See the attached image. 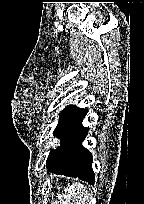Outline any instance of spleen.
Returning a JSON list of instances; mask_svg holds the SVG:
<instances>
[{
	"instance_id": "1",
	"label": "spleen",
	"mask_w": 144,
	"mask_h": 204,
	"mask_svg": "<svg viewBox=\"0 0 144 204\" xmlns=\"http://www.w3.org/2000/svg\"><path fill=\"white\" fill-rule=\"evenodd\" d=\"M85 191V187L81 183H77L75 186H71L69 189L66 190L65 192V201L63 204H68L71 201H76V204H80L82 199L84 201L83 195ZM86 197V196H84ZM73 204V203H70Z\"/></svg>"
}]
</instances>
